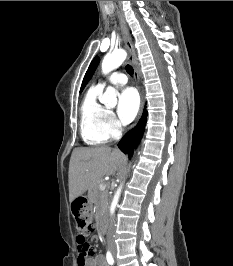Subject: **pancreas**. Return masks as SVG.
Returning <instances> with one entry per match:
<instances>
[{"label":"pancreas","mask_w":233,"mask_h":266,"mask_svg":"<svg viewBox=\"0 0 233 266\" xmlns=\"http://www.w3.org/2000/svg\"><path fill=\"white\" fill-rule=\"evenodd\" d=\"M99 184L100 181L89 189L88 197L94 204L98 205L101 210H105L108 203V193L106 190H100Z\"/></svg>","instance_id":"1"}]
</instances>
